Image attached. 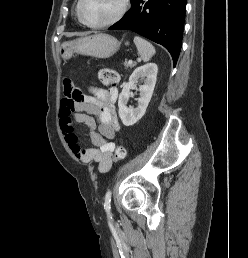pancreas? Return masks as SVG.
Returning <instances> with one entry per match:
<instances>
[{"instance_id":"pancreas-1","label":"pancreas","mask_w":248,"mask_h":258,"mask_svg":"<svg viewBox=\"0 0 248 258\" xmlns=\"http://www.w3.org/2000/svg\"><path fill=\"white\" fill-rule=\"evenodd\" d=\"M124 66H125L126 68H132V67L135 66V63H129V62L125 61V62H124Z\"/></svg>"}]
</instances>
